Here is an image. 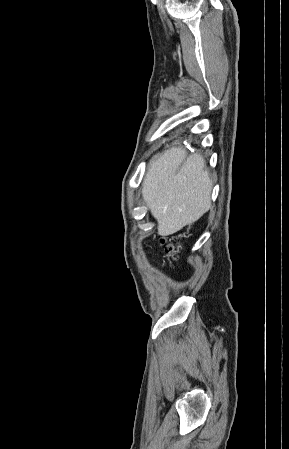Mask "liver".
Returning a JSON list of instances; mask_svg holds the SVG:
<instances>
[{"label":"liver","mask_w":289,"mask_h":449,"mask_svg":"<svg viewBox=\"0 0 289 449\" xmlns=\"http://www.w3.org/2000/svg\"><path fill=\"white\" fill-rule=\"evenodd\" d=\"M201 155L186 158L182 148L156 155L143 181L142 196L161 236L191 225L211 207L212 181Z\"/></svg>","instance_id":"obj_1"}]
</instances>
